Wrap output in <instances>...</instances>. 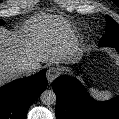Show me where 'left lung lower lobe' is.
Segmentation results:
<instances>
[{"instance_id":"1","label":"left lung lower lobe","mask_w":119,"mask_h":119,"mask_svg":"<svg viewBox=\"0 0 119 119\" xmlns=\"http://www.w3.org/2000/svg\"><path fill=\"white\" fill-rule=\"evenodd\" d=\"M114 48L119 52V44ZM52 88L57 97V119H119V96L98 102L77 79L67 76L55 79Z\"/></svg>"}]
</instances>
